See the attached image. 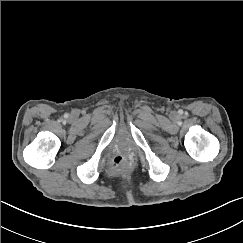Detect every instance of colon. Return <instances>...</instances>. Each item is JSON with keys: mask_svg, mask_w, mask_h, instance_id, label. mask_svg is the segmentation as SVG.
<instances>
[{"mask_svg": "<svg viewBox=\"0 0 243 243\" xmlns=\"http://www.w3.org/2000/svg\"><path fill=\"white\" fill-rule=\"evenodd\" d=\"M131 163L128 158L124 156L114 157L109 164V169L112 172L125 171L130 167Z\"/></svg>", "mask_w": 243, "mask_h": 243, "instance_id": "obj_1", "label": "colon"}]
</instances>
